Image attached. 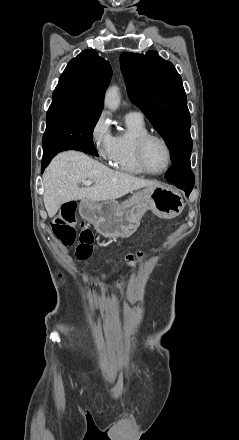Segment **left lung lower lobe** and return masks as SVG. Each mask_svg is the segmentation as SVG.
<instances>
[{
	"mask_svg": "<svg viewBox=\"0 0 239 440\" xmlns=\"http://www.w3.org/2000/svg\"><path fill=\"white\" fill-rule=\"evenodd\" d=\"M168 182L186 192L188 196L194 185V174L190 168V156L177 160L166 175Z\"/></svg>",
	"mask_w": 239,
	"mask_h": 440,
	"instance_id": "1",
	"label": "left lung lower lobe"
}]
</instances>
